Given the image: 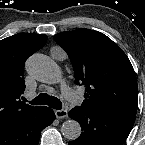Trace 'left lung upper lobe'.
Returning <instances> with one entry per match:
<instances>
[{
  "label": "left lung upper lobe",
  "mask_w": 145,
  "mask_h": 145,
  "mask_svg": "<svg viewBox=\"0 0 145 145\" xmlns=\"http://www.w3.org/2000/svg\"><path fill=\"white\" fill-rule=\"evenodd\" d=\"M54 39L70 58L76 84L86 88L82 108L137 112L136 75L116 43L100 32L84 28L58 33Z\"/></svg>",
  "instance_id": "obj_1"
}]
</instances>
